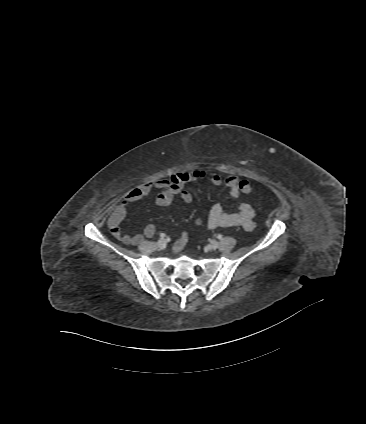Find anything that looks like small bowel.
<instances>
[{
  "label": "small bowel",
  "instance_id": "obj_1",
  "mask_svg": "<svg viewBox=\"0 0 366 424\" xmlns=\"http://www.w3.org/2000/svg\"><path fill=\"white\" fill-rule=\"evenodd\" d=\"M206 180L216 186H225L229 191V196L232 200H237L241 193V181L235 175L221 177L215 173L202 171L201 177H195L193 172L177 173L168 179H158L142 184L130 190L121 200L120 204L115 208L108 219V227L111 234L121 242L127 245H137L143 242L145 238L152 237L156 232V227L153 224H148L144 227L141 234H122L121 223L124 220L127 212V207L135 202L140 201L154 190H159L155 197L157 206L166 207L172 204L175 196H179L185 203L193 201L192 193L186 188V185L191 182ZM255 211L247 202H241L238 205L236 212H226L220 204H215L210 208L207 228H230L241 226L244 229L250 230L254 227ZM187 242V235L182 233L174 244L173 251L180 252Z\"/></svg>",
  "mask_w": 366,
  "mask_h": 424
}]
</instances>
